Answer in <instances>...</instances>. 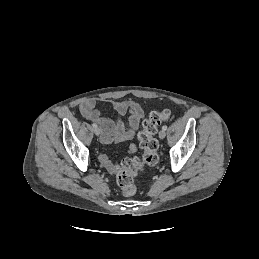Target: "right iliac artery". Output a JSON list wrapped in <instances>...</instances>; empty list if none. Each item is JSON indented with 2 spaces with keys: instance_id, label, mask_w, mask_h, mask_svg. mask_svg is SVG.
<instances>
[{
  "instance_id": "right-iliac-artery-1",
  "label": "right iliac artery",
  "mask_w": 259,
  "mask_h": 259,
  "mask_svg": "<svg viewBox=\"0 0 259 259\" xmlns=\"http://www.w3.org/2000/svg\"><path fill=\"white\" fill-rule=\"evenodd\" d=\"M92 127H93V128H97V124L93 123V124H92Z\"/></svg>"
}]
</instances>
